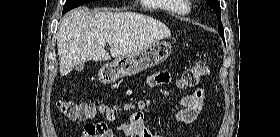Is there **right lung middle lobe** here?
<instances>
[{
  "label": "right lung middle lobe",
  "instance_id": "dd1d6c3e",
  "mask_svg": "<svg viewBox=\"0 0 280 137\" xmlns=\"http://www.w3.org/2000/svg\"><path fill=\"white\" fill-rule=\"evenodd\" d=\"M91 1L94 0H66V3L63 6V14L75 7L81 6Z\"/></svg>",
  "mask_w": 280,
  "mask_h": 137
}]
</instances>
